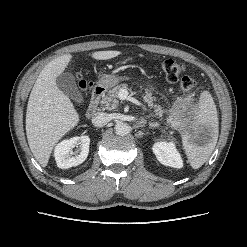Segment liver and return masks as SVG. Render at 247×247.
Returning <instances> with one entry per match:
<instances>
[{"mask_svg":"<svg viewBox=\"0 0 247 247\" xmlns=\"http://www.w3.org/2000/svg\"><path fill=\"white\" fill-rule=\"evenodd\" d=\"M120 51H97L96 60H108ZM72 59L71 54L50 61L40 72L29 96L26 111V134L29 147L42 167H46L56 143L79 123V114L67 95L56 85Z\"/></svg>","mask_w":247,"mask_h":247,"instance_id":"1","label":"liver"}]
</instances>
